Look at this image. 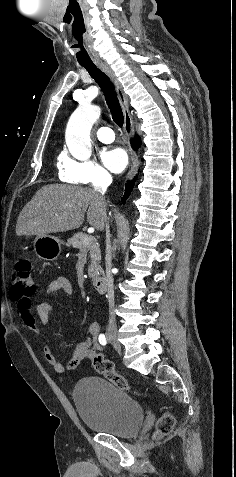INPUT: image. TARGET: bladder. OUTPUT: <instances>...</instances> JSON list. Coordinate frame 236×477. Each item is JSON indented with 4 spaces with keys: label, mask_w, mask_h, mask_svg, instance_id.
<instances>
[{
    "label": "bladder",
    "mask_w": 236,
    "mask_h": 477,
    "mask_svg": "<svg viewBox=\"0 0 236 477\" xmlns=\"http://www.w3.org/2000/svg\"><path fill=\"white\" fill-rule=\"evenodd\" d=\"M73 399L82 422L94 432L125 438L142 427L141 404L106 379L84 378L75 386Z\"/></svg>",
    "instance_id": "bladder-1"
}]
</instances>
